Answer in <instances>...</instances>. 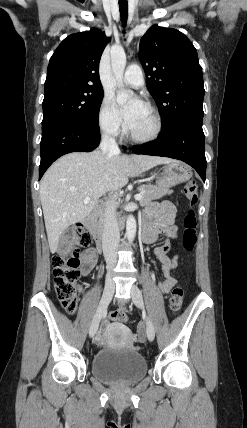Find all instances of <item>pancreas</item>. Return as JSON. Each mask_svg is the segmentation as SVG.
Wrapping results in <instances>:
<instances>
[{
	"label": "pancreas",
	"instance_id": "obj_1",
	"mask_svg": "<svg viewBox=\"0 0 247 428\" xmlns=\"http://www.w3.org/2000/svg\"><path fill=\"white\" fill-rule=\"evenodd\" d=\"M138 191L142 194L140 205L145 206L151 201L160 199L161 197L171 194L173 191L158 185H141L138 187Z\"/></svg>",
	"mask_w": 247,
	"mask_h": 428
}]
</instances>
